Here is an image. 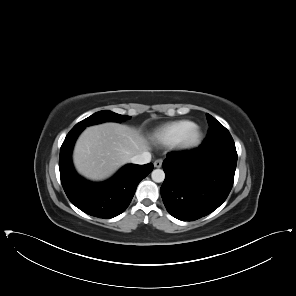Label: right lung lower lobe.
I'll return each mask as SVG.
<instances>
[{
    "label": "right lung lower lobe",
    "mask_w": 296,
    "mask_h": 296,
    "mask_svg": "<svg viewBox=\"0 0 296 296\" xmlns=\"http://www.w3.org/2000/svg\"><path fill=\"white\" fill-rule=\"evenodd\" d=\"M82 130L73 128L61 146L59 169L62 186L71 203L83 212L99 218H113L128 207L137 185L153 170V164H129L106 182H89L75 172L71 161L74 142Z\"/></svg>",
    "instance_id": "obj_1"
}]
</instances>
